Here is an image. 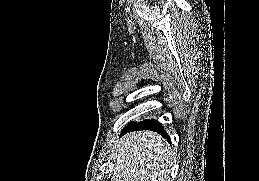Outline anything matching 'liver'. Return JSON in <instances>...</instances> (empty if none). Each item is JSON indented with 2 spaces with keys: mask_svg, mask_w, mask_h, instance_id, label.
Here are the masks:
<instances>
[{
  "mask_svg": "<svg viewBox=\"0 0 259 181\" xmlns=\"http://www.w3.org/2000/svg\"><path fill=\"white\" fill-rule=\"evenodd\" d=\"M113 159L112 181H169L173 152L157 133L132 132L120 139Z\"/></svg>",
  "mask_w": 259,
  "mask_h": 181,
  "instance_id": "1",
  "label": "liver"
}]
</instances>
